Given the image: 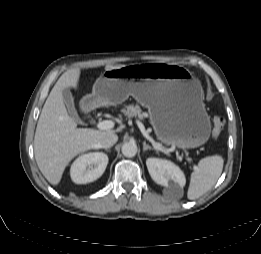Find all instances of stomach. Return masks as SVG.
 Returning a JSON list of instances; mask_svg holds the SVG:
<instances>
[{
    "mask_svg": "<svg viewBox=\"0 0 261 254\" xmlns=\"http://www.w3.org/2000/svg\"><path fill=\"white\" fill-rule=\"evenodd\" d=\"M129 96L148 109L156 137L166 146L195 148L209 139L203 90L186 67L147 63L105 70L84 101L99 107L121 104Z\"/></svg>",
    "mask_w": 261,
    "mask_h": 254,
    "instance_id": "stomach-1",
    "label": "stomach"
}]
</instances>
